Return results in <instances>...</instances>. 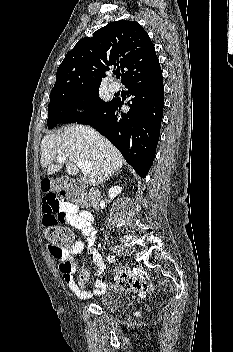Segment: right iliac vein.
<instances>
[{
    "mask_svg": "<svg viewBox=\"0 0 233 352\" xmlns=\"http://www.w3.org/2000/svg\"><path fill=\"white\" fill-rule=\"evenodd\" d=\"M112 251L118 255H121V256H130L131 255L130 250L122 245H116V246L112 247Z\"/></svg>",
    "mask_w": 233,
    "mask_h": 352,
    "instance_id": "63e3f726",
    "label": "right iliac vein"
}]
</instances>
